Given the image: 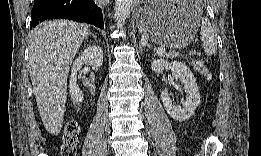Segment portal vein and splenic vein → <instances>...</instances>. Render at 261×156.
<instances>
[{
	"label": "portal vein and splenic vein",
	"mask_w": 261,
	"mask_h": 156,
	"mask_svg": "<svg viewBox=\"0 0 261 156\" xmlns=\"http://www.w3.org/2000/svg\"><path fill=\"white\" fill-rule=\"evenodd\" d=\"M165 47H160L157 49V54L160 55V56H163L165 54Z\"/></svg>",
	"instance_id": "1"
}]
</instances>
